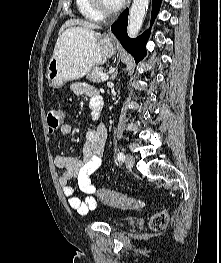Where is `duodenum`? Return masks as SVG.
Returning <instances> with one entry per match:
<instances>
[{
	"mask_svg": "<svg viewBox=\"0 0 221 263\" xmlns=\"http://www.w3.org/2000/svg\"><path fill=\"white\" fill-rule=\"evenodd\" d=\"M96 114H98L102 109V100L97 101L95 106L93 107Z\"/></svg>",
	"mask_w": 221,
	"mask_h": 263,
	"instance_id": "410a0bca",
	"label": "duodenum"
}]
</instances>
